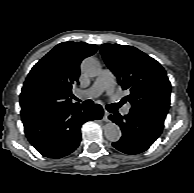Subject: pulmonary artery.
<instances>
[{"mask_svg":"<svg viewBox=\"0 0 194 193\" xmlns=\"http://www.w3.org/2000/svg\"><path fill=\"white\" fill-rule=\"evenodd\" d=\"M115 86L114 75L110 70L104 69L101 74L97 77L94 84L90 89L78 91L79 96H92L97 97L102 92L108 91L112 93ZM130 105H125L122 108L123 114L127 115L130 112Z\"/></svg>","mask_w":194,"mask_h":193,"instance_id":"obj_1","label":"pulmonary artery"}]
</instances>
